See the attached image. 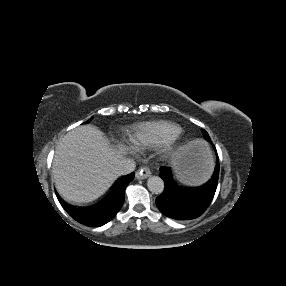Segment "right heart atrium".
Returning a JSON list of instances; mask_svg holds the SVG:
<instances>
[{"label": "right heart atrium", "instance_id": "d8ad5b80", "mask_svg": "<svg viewBox=\"0 0 286 286\" xmlns=\"http://www.w3.org/2000/svg\"><path fill=\"white\" fill-rule=\"evenodd\" d=\"M121 148L125 152H133L135 150L134 144L131 142V140L124 139L121 141Z\"/></svg>", "mask_w": 286, "mask_h": 286}]
</instances>
